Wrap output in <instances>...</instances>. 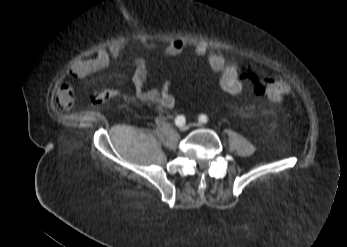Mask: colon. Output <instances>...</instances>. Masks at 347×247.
I'll return each instance as SVG.
<instances>
[{"instance_id":"obj_1","label":"colon","mask_w":347,"mask_h":247,"mask_svg":"<svg viewBox=\"0 0 347 247\" xmlns=\"http://www.w3.org/2000/svg\"><path fill=\"white\" fill-rule=\"evenodd\" d=\"M258 88L268 103L280 102L288 92L287 84L273 73L262 74L258 79ZM112 97L113 94L108 91H98L92 96V102L94 105H100Z\"/></svg>"}]
</instances>
